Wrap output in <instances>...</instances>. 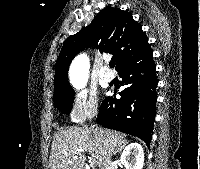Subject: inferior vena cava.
<instances>
[{"instance_id":"obj_1","label":"inferior vena cava","mask_w":200,"mask_h":169,"mask_svg":"<svg viewBox=\"0 0 200 169\" xmlns=\"http://www.w3.org/2000/svg\"><path fill=\"white\" fill-rule=\"evenodd\" d=\"M112 161H111V156H108L107 159H106V164H105V169H111L112 168Z\"/></svg>"}]
</instances>
